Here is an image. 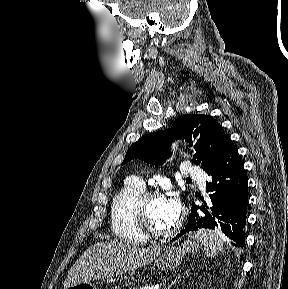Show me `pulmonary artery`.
I'll list each match as a JSON object with an SVG mask.
<instances>
[{
	"mask_svg": "<svg viewBox=\"0 0 288 289\" xmlns=\"http://www.w3.org/2000/svg\"><path fill=\"white\" fill-rule=\"evenodd\" d=\"M182 167H183V171H184L183 172L184 176H187L189 178L197 180V182L201 188L205 187V182L207 180V176L202 170L194 167L190 163H183ZM133 180H135L138 184H140L141 186L144 187V181L142 178H139V177L133 178Z\"/></svg>",
	"mask_w": 288,
	"mask_h": 289,
	"instance_id": "obj_1",
	"label": "pulmonary artery"
}]
</instances>
